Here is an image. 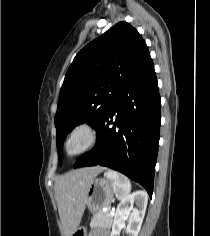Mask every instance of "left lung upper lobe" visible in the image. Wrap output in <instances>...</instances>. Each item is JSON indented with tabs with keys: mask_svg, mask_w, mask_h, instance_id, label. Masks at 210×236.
Listing matches in <instances>:
<instances>
[{
	"mask_svg": "<svg viewBox=\"0 0 210 236\" xmlns=\"http://www.w3.org/2000/svg\"><path fill=\"white\" fill-rule=\"evenodd\" d=\"M151 60L141 35L124 21L76 55L61 87L55 115L60 162L68 132L84 122L97 129L120 91Z\"/></svg>",
	"mask_w": 210,
	"mask_h": 236,
	"instance_id": "5c2ea615",
	"label": "left lung upper lobe"
}]
</instances>
